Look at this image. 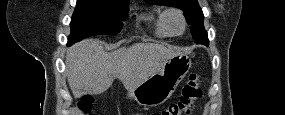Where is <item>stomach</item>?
<instances>
[{"instance_id": "stomach-1", "label": "stomach", "mask_w": 285, "mask_h": 115, "mask_svg": "<svg viewBox=\"0 0 285 115\" xmlns=\"http://www.w3.org/2000/svg\"><path fill=\"white\" fill-rule=\"evenodd\" d=\"M191 66L188 55L178 54L164 64L161 70L139 84L128 96L139 105L155 107L163 104L175 92Z\"/></svg>"}]
</instances>
